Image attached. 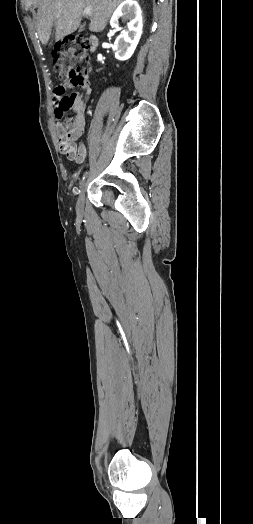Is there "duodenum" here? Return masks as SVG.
Listing matches in <instances>:
<instances>
[{"instance_id":"duodenum-1","label":"duodenum","mask_w":253,"mask_h":524,"mask_svg":"<svg viewBox=\"0 0 253 524\" xmlns=\"http://www.w3.org/2000/svg\"><path fill=\"white\" fill-rule=\"evenodd\" d=\"M90 39H91L92 44L95 45L96 42H97V38H96V36L92 35V36L90 37Z\"/></svg>"}]
</instances>
